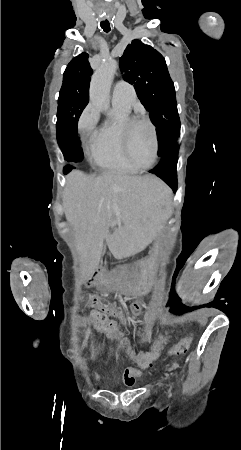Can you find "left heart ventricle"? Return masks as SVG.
Here are the masks:
<instances>
[{
    "label": "left heart ventricle",
    "instance_id": "b2bd125f",
    "mask_svg": "<svg viewBox=\"0 0 241 450\" xmlns=\"http://www.w3.org/2000/svg\"><path fill=\"white\" fill-rule=\"evenodd\" d=\"M132 133L125 145V150L131 153L132 157L129 162L132 165H149L151 158V148H150V130H155L152 127V122L150 119L144 115H140L137 118V122L132 126Z\"/></svg>",
    "mask_w": 241,
    "mask_h": 450
}]
</instances>
